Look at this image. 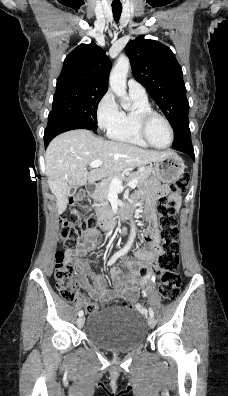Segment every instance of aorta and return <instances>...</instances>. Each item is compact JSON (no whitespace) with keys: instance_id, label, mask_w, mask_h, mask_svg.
I'll use <instances>...</instances> for the list:
<instances>
[{"instance_id":"1","label":"aorta","mask_w":228,"mask_h":396,"mask_svg":"<svg viewBox=\"0 0 228 396\" xmlns=\"http://www.w3.org/2000/svg\"><path fill=\"white\" fill-rule=\"evenodd\" d=\"M130 68L129 59L126 56H120L117 59V62L110 73L109 83L112 91L116 94L117 97L120 98V103L123 109L127 110L131 106L130 98L126 92V78ZM132 221V220H131ZM136 236V227L131 224V231L128 238V241L124 247L125 251H128L135 239Z\"/></svg>"}]
</instances>
